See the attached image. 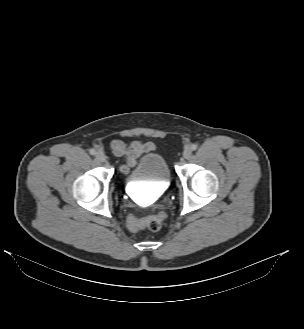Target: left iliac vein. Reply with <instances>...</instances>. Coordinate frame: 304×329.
Masks as SVG:
<instances>
[{"label": "left iliac vein", "instance_id": "1", "mask_svg": "<svg viewBox=\"0 0 304 329\" xmlns=\"http://www.w3.org/2000/svg\"><path fill=\"white\" fill-rule=\"evenodd\" d=\"M191 154H192V151H191L190 148H186V149L183 151V157H184L185 159H189L190 156H191Z\"/></svg>", "mask_w": 304, "mask_h": 329}]
</instances>
